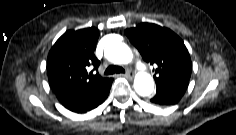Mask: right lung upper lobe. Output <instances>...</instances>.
<instances>
[{
	"instance_id": "obj_1",
	"label": "right lung upper lobe",
	"mask_w": 236,
	"mask_h": 135,
	"mask_svg": "<svg viewBox=\"0 0 236 135\" xmlns=\"http://www.w3.org/2000/svg\"><path fill=\"white\" fill-rule=\"evenodd\" d=\"M99 37L95 27L65 32L53 45L48 55V79L55 94L77 92L97 87L108 78L88 72L98 69L100 61L94 55Z\"/></svg>"
}]
</instances>
